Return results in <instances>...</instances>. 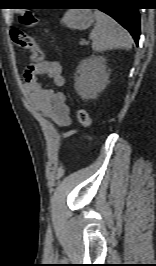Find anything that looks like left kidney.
<instances>
[{
    "label": "left kidney",
    "mask_w": 156,
    "mask_h": 266,
    "mask_svg": "<svg viewBox=\"0 0 156 266\" xmlns=\"http://www.w3.org/2000/svg\"><path fill=\"white\" fill-rule=\"evenodd\" d=\"M106 60L91 57L83 60L77 68L75 89L82 99H93L108 83Z\"/></svg>",
    "instance_id": "left-kidney-1"
}]
</instances>
